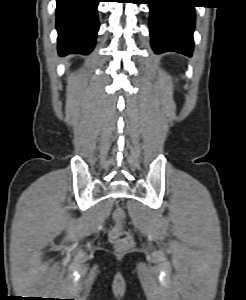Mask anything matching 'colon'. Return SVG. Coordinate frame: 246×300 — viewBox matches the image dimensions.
<instances>
[{"label":"colon","mask_w":246,"mask_h":300,"mask_svg":"<svg viewBox=\"0 0 246 300\" xmlns=\"http://www.w3.org/2000/svg\"><path fill=\"white\" fill-rule=\"evenodd\" d=\"M114 226L108 232L109 241L120 249H127L132 246L131 234L124 229L125 213L121 207H115L113 211Z\"/></svg>","instance_id":"1"}]
</instances>
